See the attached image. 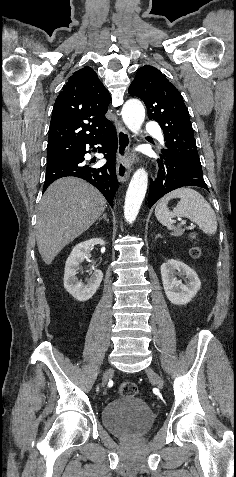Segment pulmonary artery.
Masks as SVG:
<instances>
[{"label":"pulmonary artery","instance_id":"obj_1","mask_svg":"<svg viewBox=\"0 0 236 477\" xmlns=\"http://www.w3.org/2000/svg\"><path fill=\"white\" fill-rule=\"evenodd\" d=\"M145 132L155 134V135H157L160 139H162V137H161V135H160V133H159V129H158V127L156 126L155 123H149V124H147V126L145 127Z\"/></svg>","mask_w":236,"mask_h":477}]
</instances>
